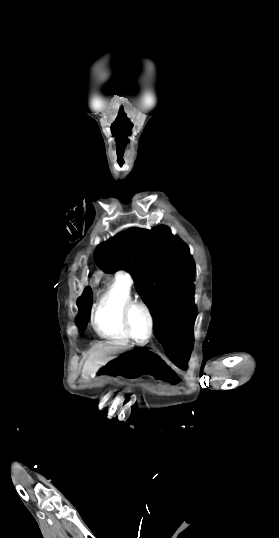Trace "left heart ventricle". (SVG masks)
<instances>
[{"label": "left heart ventricle", "instance_id": "left-heart-ventricle-1", "mask_svg": "<svg viewBox=\"0 0 279 538\" xmlns=\"http://www.w3.org/2000/svg\"><path fill=\"white\" fill-rule=\"evenodd\" d=\"M117 207H104L105 210H114ZM130 326L132 333L139 341L147 339L149 334V324L145 313L141 309H134L130 316Z\"/></svg>", "mask_w": 279, "mask_h": 538}]
</instances>
